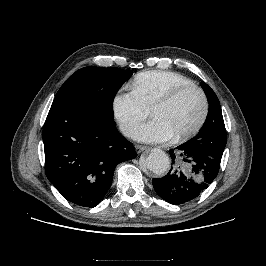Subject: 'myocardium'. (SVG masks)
Segmentation results:
<instances>
[{
    "mask_svg": "<svg viewBox=\"0 0 266 266\" xmlns=\"http://www.w3.org/2000/svg\"><path fill=\"white\" fill-rule=\"evenodd\" d=\"M188 91H196L199 93L202 100V111L197 122L191 128L174 135V139L178 141L190 138L191 136L196 134L204 125L209 112V101L205 91L201 87L194 84L179 86L166 93L164 96L158 99L151 107V112L153 114L156 109L171 104L178 97Z\"/></svg>",
    "mask_w": 266,
    "mask_h": 266,
    "instance_id": "myocardium-1",
    "label": "myocardium"
}]
</instances>
